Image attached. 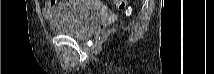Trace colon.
I'll return each mask as SVG.
<instances>
[{
  "instance_id": "5ec220e1",
  "label": "colon",
  "mask_w": 214,
  "mask_h": 74,
  "mask_svg": "<svg viewBox=\"0 0 214 74\" xmlns=\"http://www.w3.org/2000/svg\"><path fill=\"white\" fill-rule=\"evenodd\" d=\"M52 3H54L52 1ZM112 3L115 5V7L122 9L126 6L127 1L126 0H114Z\"/></svg>"
}]
</instances>
